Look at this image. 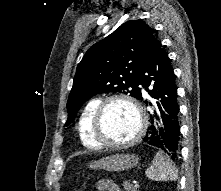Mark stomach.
<instances>
[{"instance_id":"stomach-1","label":"stomach","mask_w":221,"mask_h":191,"mask_svg":"<svg viewBox=\"0 0 221 191\" xmlns=\"http://www.w3.org/2000/svg\"><path fill=\"white\" fill-rule=\"evenodd\" d=\"M139 157L135 154H115L90 163L93 169L124 171L137 166Z\"/></svg>"}]
</instances>
